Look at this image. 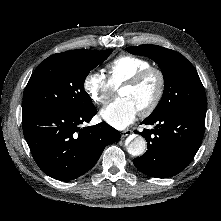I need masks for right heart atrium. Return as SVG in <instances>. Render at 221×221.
Masks as SVG:
<instances>
[{"label": "right heart atrium", "instance_id": "d8ad5b80", "mask_svg": "<svg viewBox=\"0 0 221 221\" xmlns=\"http://www.w3.org/2000/svg\"><path fill=\"white\" fill-rule=\"evenodd\" d=\"M82 87L89 99L97 105L104 104L113 90L108 78L102 72L95 70L85 75Z\"/></svg>", "mask_w": 221, "mask_h": 221}]
</instances>
